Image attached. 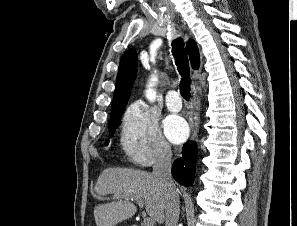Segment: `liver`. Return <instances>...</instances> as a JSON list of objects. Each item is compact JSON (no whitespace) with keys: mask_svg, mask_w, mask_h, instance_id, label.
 <instances>
[{"mask_svg":"<svg viewBox=\"0 0 297 226\" xmlns=\"http://www.w3.org/2000/svg\"><path fill=\"white\" fill-rule=\"evenodd\" d=\"M94 192L98 198L113 194L117 200L95 206L97 226H115L132 217L137 211L129 201L132 197L144 199L147 213L159 224L165 220V192L151 173L127 168L105 169L97 180Z\"/></svg>","mask_w":297,"mask_h":226,"instance_id":"obj_1","label":"liver"}]
</instances>
